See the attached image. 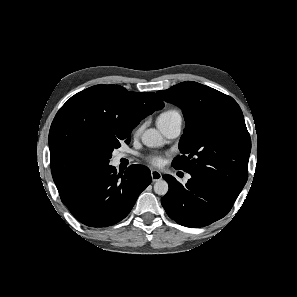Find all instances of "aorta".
I'll use <instances>...</instances> for the list:
<instances>
[{"label":"aorta","instance_id":"obj_1","mask_svg":"<svg viewBox=\"0 0 297 297\" xmlns=\"http://www.w3.org/2000/svg\"><path fill=\"white\" fill-rule=\"evenodd\" d=\"M142 142L147 147H157L162 144L163 138L156 129H148L142 134ZM168 183L159 179L154 184V191L158 195H165L168 192Z\"/></svg>","mask_w":297,"mask_h":297}]
</instances>
